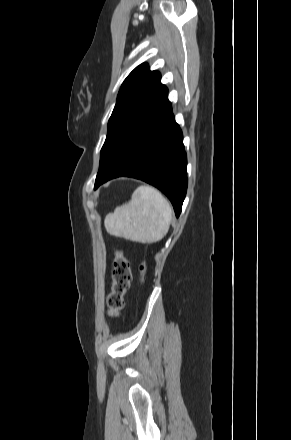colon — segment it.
I'll list each match as a JSON object with an SVG mask.
<instances>
[{
    "label": "colon",
    "mask_w": 291,
    "mask_h": 440,
    "mask_svg": "<svg viewBox=\"0 0 291 440\" xmlns=\"http://www.w3.org/2000/svg\"><path fill=\"white\" fill-rule=\"evenodd\" d=\"M113 286L110 294L107 296V305L109 314L115 316L123 306V295L128 289L130 283V265L124 257L121 250H116L113 261ZM145 265L140 266L143 272Z\"/></svg>",
    "instance_id": "obj_1"
}]
</instances>
